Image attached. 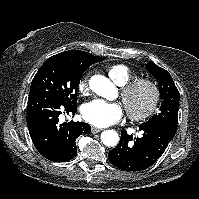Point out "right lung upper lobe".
I'll return each mask as SVG.
<instances>
[{
    "instance_id": "right-lung-upper-lobe-1",
    "label": "right lung upper lobe",
    "mask_w": 199,
    "mask_h": 199,
    "mask_svg": "<svg viewBox=\"0 0 199 199\" xmlns=\"http://www.w3.org/2000/svg\"><path fill=\"white\" fill-rule=\"evenodd\" d=\"M50 58L85 71L90 65L103 60L105 57H97L84 51L73 50L59 53Z\"/></svg>"
}]
</instances>
